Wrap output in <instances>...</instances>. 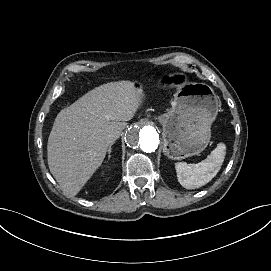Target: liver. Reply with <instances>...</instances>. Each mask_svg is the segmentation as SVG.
Returning <instances> with one entry per match:
<instances>
[{
  "label": "liver",
  "mask_w": 271,
  "mask_h": 271,
  "mask_svg": "<svg viewBox=\"0 0 271 271\" xmlns=\"http://www.w3.org/2000/svg\"><path fill=\"white\" fill-rule=\"evenodd\" d=\"M143 96L130 81L110 82L58 113L47 156L50 172L64 191L75 196L81 190L102 164L109 136L125 128Z\"/></svg>",
  "instance_id": "6515ba94"
}]
</instances>
